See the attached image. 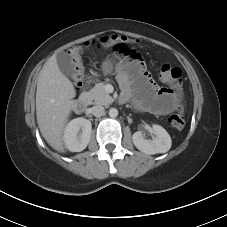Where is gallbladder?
<instances>
[{
	"label": "gallbladder",
	"instance_id": "bac80fb5",
	"mask_svg": "<svg viewBox=\"0 0 227 227\" xmlns=\"http://www.w3.org/2000/svg\"><path fill=\"white\" fill-rule=\"evenodd\" d=\"M56 61L60 71L67 77H72L74 73L73 63L66 52H60L56 56Z\"/></svg>",
	"mask_w": 227,
	"mask_h": 227
}]
</instances>
